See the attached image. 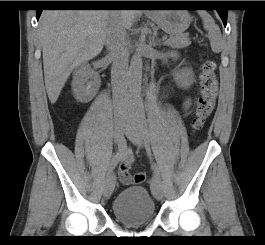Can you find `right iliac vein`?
I'll list each match as a JSON object with an SVG mask.
<instances>
[{
	"label": "right iliac vein",
	"instance_id": "63e3f726",
	"mask_svg": "<svg viewBox=\"0 0 265 245\" xmlns=\"http://www.w3.org/2000/svg\"><path fill=\"white\" fill-rule=\"evenodd\" d=\"M127 127V122L124 120H116L115 121V129H114V138L115 141L120 140L124 130ZM115 188V176L113 174H109L104 182V197L109 198Z\"/></svg>",
	"mask_w": 265,
	"mask_h": 245
}]
</instances>
